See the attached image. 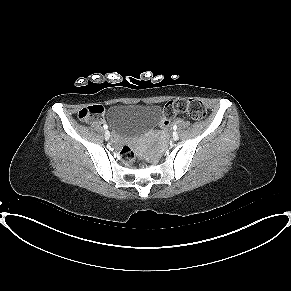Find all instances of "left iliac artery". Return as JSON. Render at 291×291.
Segmentation results:
<instances>
[{
  "mask_svg": "<svg viewBox=\"0 0 291 291\" xmlns=\"http://www.w3.org/2000/svg\"><path fill=\"white\" fill-rule=\"evenodd\" d=\"M173 129L176 130V129H177V125H174V126H173Z\"/></svg>",
  "mask_w": 291,
  "mask_h": 291,
  "instance_id": "left-iliac-artery-1",
  "label": "left iliac artery"
}]
</instances>
